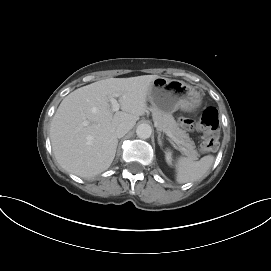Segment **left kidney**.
Masks as SVG:
<instances>
[{"label":"left kidney","mask_w":271,"mask_h":271,"mask_svg":"<svg viewBox=\"0 0 271 271\" xmlns=\"http://www.w3.org/2000/svg\"><path fill=\"white\" fill-rule=\"evenodd\" d=\"M166 162L171 165L172 164V154L170 151L165 152Z\"/></svg>","instance_id":"obj_1"}]
</instances>
